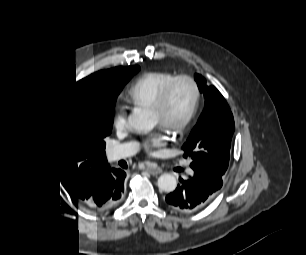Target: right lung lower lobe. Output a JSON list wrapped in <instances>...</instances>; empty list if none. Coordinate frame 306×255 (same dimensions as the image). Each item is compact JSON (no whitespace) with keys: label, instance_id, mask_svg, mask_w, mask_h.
<instances>
[{"label":"right lung lower lobe","instance_id":"98d812e1","mask_svg":"<svg viewBox=\"0 0 306 255\" xmlns=\"http://www.w3.org/2000/svg\"><path fill=\"white\" fill-rule=\"evenodd\" d=\"M125 177L123 170L110 169L106 163L72 181L69 188L80 202L98 210H106L118 203L122 197Z\"/></svg>","mask_w":306,"mask_h":255}]
</instances>
